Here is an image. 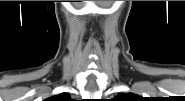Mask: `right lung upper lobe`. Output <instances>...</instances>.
I'll list each match as a JSON object with an SVG mask.
<instances>
[{
  "label": "right lung upper lobe",
  "mask_w": 185,
  "mask_h": 101,
  "mask_svg": "<svg viewBox=\"0 0 185 101\" xmlns=\"http://www.w3.org/2000/svg\"><path fill=\"white\" fill-rule=\"evenodd\" d=\"M49 100L50 101L51 100L52 101H71V97L67 93H61L59 95L50 97Z\"/></svg>",
  "instance_id": "right-lung-upper-lobe-1"
}]
</instances>
